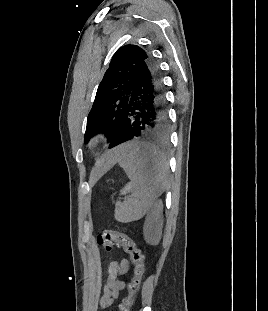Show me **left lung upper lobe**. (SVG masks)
I'll return each instance as SVG.
<instances>
[{"mask_svg":"<svg viewBox=\"0 0 268 311\" xmlns=\"http://www.w3.org/2000/svg\"><path fill=\"white\" fill-rule=\"evenodd\" d=\"M150 56L137 45H125L116 51L88 115L85 143L98 133H105L111 142L124 119L138 69Z\"/></svg>","mask_w":268,"mask_h":311,"instance_id":"5c2ea615","label":"left lung upper lobe"}]
</instances>
